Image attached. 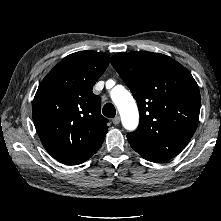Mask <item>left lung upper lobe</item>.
<instances>
[{
  "label": "left lung upper lobe",
  "instance_id": "left-lung-upper-lobe-1",
  "mask_svg": "<svg viewBox=\"0 0 221 221\" xmlns=\"http://www.w3.org/2000/svg\"><path fill=\"white\" fill-rule=\"evenodd\" d=\"M111 64L137 100L140 123L127 135L145 159L170 160L189 143L199 121L200 92L190 72L169 56L117 54Z\"/></svg>",
  "mask_w": 221,
  "mask_h": 221
}]
</instances>
